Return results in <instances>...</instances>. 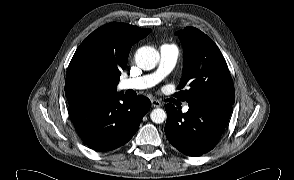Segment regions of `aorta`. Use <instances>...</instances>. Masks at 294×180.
<instances>
[{
  "label": "aorta",
  "mask_w": 294,
  "mask_h": 180,
  "mask_svg": "<svg viewBox=\"0 0 294 180\" xmlns=\"http://www.w3.org/2000/svg\"><path fill=\"white\" fill-rule=\"evenodd\" d=\"M136 65L143 70H151L155 68L158 63V53L150 46H143L139 48L135 54ZM166 112L161 108L152 110L150 118L154 123H163L166 119Z\"/></svg>",
  "instance_id": "obj_1"
}]
</instances>
